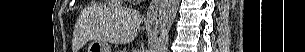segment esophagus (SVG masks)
Wrapping results in <instances>:
<instances>
[{
    "mask_svg": "<svg viewBox=\"0 0 305 52\" xmlns=\"http://www.w3.org/2000/svg\"><path fill=\"white\" fill-rule=\"evenodd\" d=\"M159 5H160V0H152L147 13H146V20L149 21H154L157 18V14H158V9H159Z\"/></svg>",
    "mask_w": 305,
    "mask_h": 52,
    "instance_id": "34e87169",
    "label": "esophagus"
}]
</instances>
